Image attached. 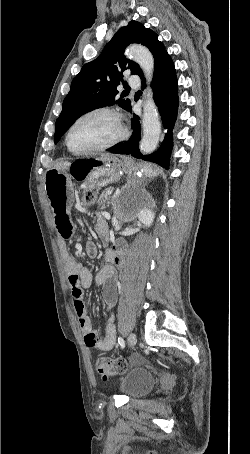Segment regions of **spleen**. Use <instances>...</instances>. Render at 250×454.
I'll return each instance as SVG.
<instances>
[{
  "instance_id": "obj_1",
  "label": "spleen",
  "mask_w": 250,
  "mask_h": 454,
  "mask_svg": "<svg viewBox=\"0 0 250 454\" xmlns=\"http://www.w3.org/2000/svg\"><path fill=\"white\" fill-rule=\"evenodd\" d=\"M144 173L147 176L152 177V176H154L157 173V170L153 169V167H151L150 165H147V166L144 167Z\"/></svg>"
}]
</instances>
